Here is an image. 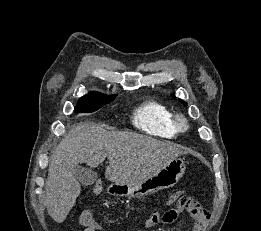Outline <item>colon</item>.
I'll list each match as a JSON object with an SVG mask.
<instances>
[{
    "mask_svg": "<svg viewBox=\"0 0 261 231\" xmlns=\"http://www.w3.org/2000/svg\"><path fill=\"white\" fill-rule=\"evenodd\" d=\"M171 200L176 204L181 213L187 214L194 223L206 228L211 218L210 212L193 197L179 191L173 195Z\"/></svg>",
    "mask_w": 261,
    "mask_h": 231,
    "instance_id": "colon-1",
    "label": "colon"
}]
</instances>
